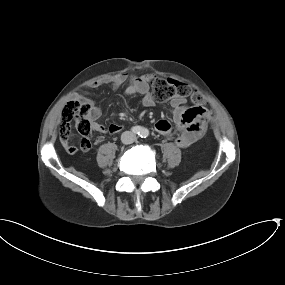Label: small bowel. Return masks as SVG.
<instances>
[{
    "mask_svg": "<svg viewBox=\"0 0 285 285\" xmlns=\"http://www.w3.org/2000/svg\"><path fill=\"white\" fill-rule=\"evenodd\" d=\"M151 76H134L130 78L125 89L126 95H140L141 103L144 107H154L156 102L150 93ZM126 81L123 75H115L109 78L94 80L88 84L91 90L97 89L105 84H110L116 90L120 88ZM74 99L89 100L88 92L77 93ZM170 107L173 113V122L167 119H160L156 123V130L161 135L174 141L179 148H188L199 141L206 132V120L209 117L208 111L203 107H190L186 104L183 98H176L171 101ZM101 116V110L95 107L90 116L92 130L98 133H108L114 135L119 133L123 126L119 123L105 125L98 121ZM182 132V133H181ZM70 134V130L67 129ZM181 133V134H180ZM92 143L88 139H83L79 146L75 144H65V149L68 154H76L79 150L89 151Z\"/></svg>",
    "mask_w": 285,
    "mask_h": 285,
    "instance_id": "c3829d8e",
    "label": "small bowel"
}]
</instances>
